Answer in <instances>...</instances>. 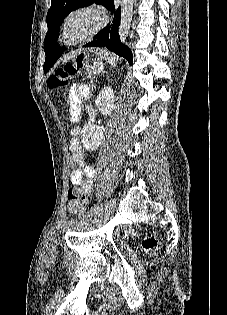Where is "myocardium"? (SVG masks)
I'll return each mask as SVG.
<instances>
[{"mask_svg":"<svg viewBox=\"0 0 227 315\" xmlns=\"http://www.w3.org/2000/svg\"><path fill=\"white\" fill-rule=\"evenodd\" d=\"M79 15L93 18L92 25L85 31L73 34L70 30L71 21ZM106 19L103 12L94 5H80L69 10L63 17L58 31L57 42L61 46L71 47L82 44L93 38L105 25Z\"/></svg>","mask_w":227,"mask_h":315,"instance_id":"obj_1","label":"myocardium"}]
</instances>
